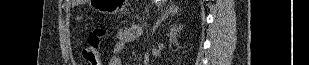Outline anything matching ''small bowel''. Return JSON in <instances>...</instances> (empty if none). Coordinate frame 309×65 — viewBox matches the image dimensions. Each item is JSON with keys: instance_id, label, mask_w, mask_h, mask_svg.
I'll use <instances>...</instances> for the list:
<instances>
[{"instance_id": "1", "label": "small bowel", "mask_w": 309, "mask_h": 65, "mask_svg": "<svg viewBox=\"0 0 309 65\" xmlns=\"http://www.w3.org/2000/svg\"><path fill=\"white\" fill-rule=\"evenodd\" d=\"M142 35V28L135 24L122 30L117 37L115 52L109 58V65H123L119 52L127 45L135 42Z\"/></svg>"}]
</instances>
